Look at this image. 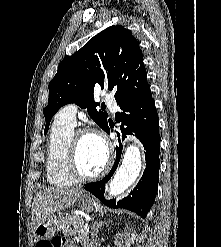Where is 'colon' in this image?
Returning a JSON list of instances; mask_svg holds the SVG:
<instances>
[{"label": "colon", "mask_w": 221, "mask_h": 247, "mask_svg": "<svg viewBox=\"0 0 221 247\" xmlns=\"http://www.w3.org/2000/svg\"><path fill=\"white\" fill-rule=\"evenodd\" d=\"M64 241L61 238H53L51 240L40 241L36 247H61Z\"/></svg>", "instance_id": "5ec220e1"}]
</instances>
